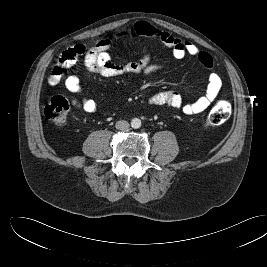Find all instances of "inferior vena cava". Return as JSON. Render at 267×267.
<instances>
[{
    "instance_id": "obj_1",
    "label": "inferior vena cava",
    "mask_w": 267,
    "mask_h": 267,
    "mask_svg": "<svg viewBox=\"0 0 267 267\" xmlns=\"http://www.w3.org/2000/svg\"><path fill=\"white\" fill-rule=\"evenodd\" d=\"M129 126H130L129 123L125 120L117 121L115 125V127L118 130H122V131H127L129 129Z\"/></svg>"
}]
</instances>
